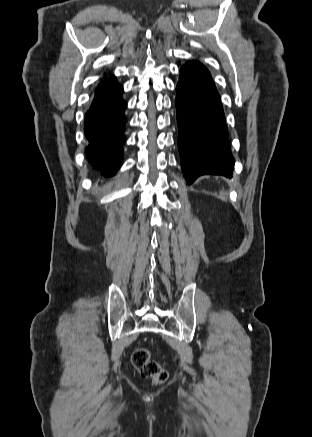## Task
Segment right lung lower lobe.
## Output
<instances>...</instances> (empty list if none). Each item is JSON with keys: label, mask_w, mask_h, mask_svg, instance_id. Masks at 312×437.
<instances>
[{"label": "right lung lower lobe", "mask_w": 312, "mask_h": 437, "mask_svg": "<svg viewBox=\"0 0 312 437\" xmlns=\"http://www.w3.org/2000/svg\"><path fill=\"white\" fill-rule=\"evenodd\" d=\"M122 93L123 87L114 76L100 83L85 116L88 160L105 177L114 175L123 160L126 102Z\"/></svg>", "instance_id": "obj_1"}]
</instances>
